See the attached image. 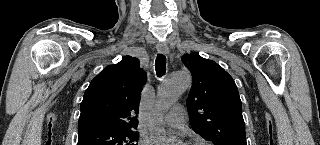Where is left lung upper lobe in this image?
Listing matches in <instances>:
<instances>
[{"mask_svg":"<svg viewBox=\"0 0 320 145\" xmlns=\"http://www.w3.org/2000/svg\"><path fill=\"white\" fill-rule=\"evenodd\" d=\"M193 85L187 109L192 129L215 145H247L242 105L233 78L198 53L185 54Z\"/></svg>","mask_w":320,"mask_h":145,"instance_id":"5c2ea615","label":"left lung upper lobe"}]
</instances>
